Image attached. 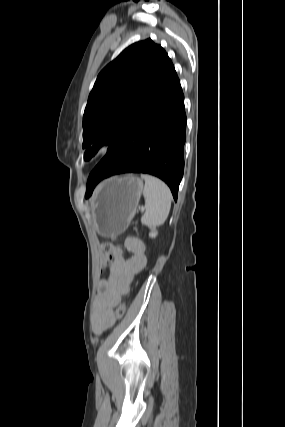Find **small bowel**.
<instances>
[{
	"label": "small bowel",
	"mask_w": 285,
	"mask_h": 427,
	"mask_svg": "<svg viewBox=\"0 0 285 427\" xmlns=\"http://www.w3.org/2000/svg\"><path fill=\"white\" fill-rule=\"evenodd\" d=\"M125 246L131 252V257L114 259L108 277L97 285L93 306V330L98 335L114 324L113 309L129 291L134 274L141 271L147 262L145 245L140 239L128 238Z\"/></svg>",
	"instance_id": "c3829d8e"
}]
</instances>
